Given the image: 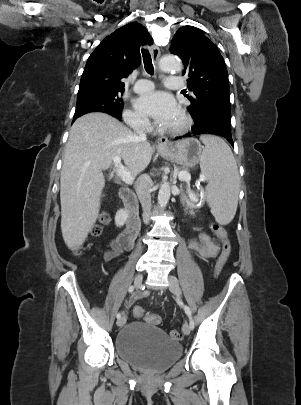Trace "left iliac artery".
<instances>
[{
  "label": "left iliac artery",
  "instance_id": "obj_1",
  "mask_svg": "<svg viewBox=\"0 0 301 405\" xmlns=\"http://www.w3.org/2000/svg\"><path fill=\"white\" fill-rule=\"evenodd\" d=\"M184 310H185V313L187 314V316L189 317V326H190V328L194 329L195 325H194V321H193V318H192L191 310L189 309L188 306H185Z\"/></svg>",
  "mask_w": 301,
  "mask_h": 405
}]
</instances>
